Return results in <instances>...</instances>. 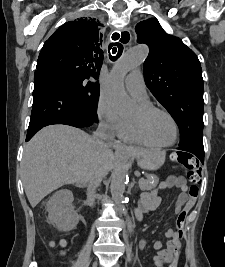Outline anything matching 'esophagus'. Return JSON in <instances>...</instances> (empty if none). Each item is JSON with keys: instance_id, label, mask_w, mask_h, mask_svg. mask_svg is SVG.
Listing matches in <instances>:
<instances>
[{"instance_id": "esophagus-1", "label": "esophagus", "mask_w": 225, "mask_h": 267, "mask_svg": "<svg viewBox=\"0 0 225 267\" xmlns=\"http://www.w3.org/2000/svg\"><path fill=\"white\" fill-rule=\"evenodd\" d=\"M124 32L128 33L129 36L131 37L129 30L126 29V28H124V29H121V30H115V31H113V32L111 33V35H110V40H111V41H115V40H114V38H115V35H114V34H115V33H119V34H120V39H121L122 34H123ZM129 41H130V38L126 37V40H125L124 44L127 45V44L129 43ZM126 149H127V146H126L125 144H123V143H120V144H118V145L116 146V150H117L118 153L124 152V151H126Z\"/></svg>"}]
</instances>
